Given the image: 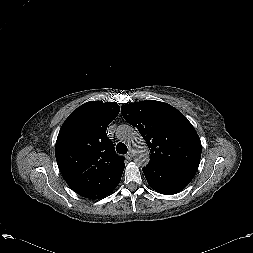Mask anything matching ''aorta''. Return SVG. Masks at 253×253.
<instances>
[{
  "label": "aorta",
  "instance_id": "aorta-1",
  "mask_svg": "<svg viewBox=\"0 0 253 253\" xmlns=\"http://www.w3.org/2000/svg\"><path fill=\"white\" fill-rule=\"evenodd\" d=\"M117 138L133 149L134 162L143 167L149 163L150 153L142 136L130 125H120L116 131Z\"/></svg>",
  "mask_w": 253,
  "mask_h": 253
}]
</instances>
